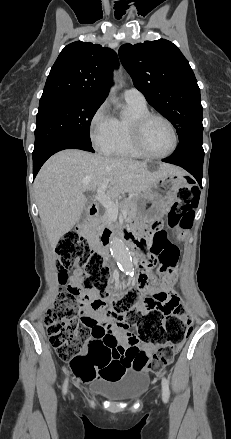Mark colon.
<instances>
[{
  "instance_id": "1",
  "label": "colon",
  "mask_w": 231,
  "mask_h": 439,
  "mask_svg": "<svg viewBox=\"0 0 231 439\" xmlns=\"http://www.w3.org/2000/svg\"><path fill=\"white\" fill-rule=\"evenodd\" d=\"M179 201L172 208L169 223L181 231L191 229L198 205L196 189L184 186L178 191ZM142 248V247H139ZM177 249L160 252L150 262L167 273L177 261ZM57 266L61 271L59 280H66V272L77 271L82 276L81 289L94 296L92 306L105 305L109 296L107 286L110 268L102 253L90 246L86 238L78 233L65 234L57 246ZM150 273L142 267L137 283L123 295L110 303L111 312L128 327L135 326L140 342L146 343L150 352L133 351L123 360L104 344L92 345L89 323L81 318L84 306L77 291H62L55 306L44 318L50 344L58 357L68 362L79 377L91 379L96 376L109 381L121 379L130 366L140 370L159 371L170 364L178 346L189 335L192 318L183 303H176L171 309L156 307L143 312L147 291H154Z\"/></svg>"
}]
</instances>
